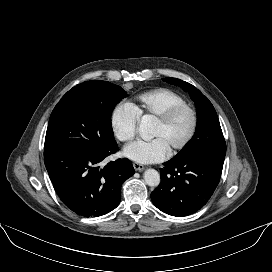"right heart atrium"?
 <instances>
[{"label":"right heart atrium","instance_id":"1","mask_svg":"<svg viewBox=\"0 0 272 272\" xmlns=\"http://www.w3.org/2000/svg\"><path fill=\"white\" fill-rule=\"evenodd\" d=\"M138 117L130 104L120 103L111 113L110 123L116 138L121 142H129L137 132Z\"/></svg>","mask_w":272,"mask_h":272}]
</instances>
